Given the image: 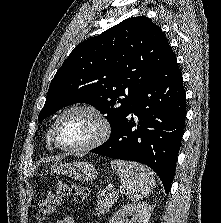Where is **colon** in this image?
Returning a JSON list of instances; mask_svg holds the SVG:
<instances>
[{"label": "colon", "instance_id": "1", "mask_svg": "<svg viewBox=\"0 0 221 223\" xmlns=\"http://www.w3.org/2000/svg\"><path fill=\"white\" fill-rule=\"evenodd\" d=\"M88 189L74 181L59 183L57 188L49 192L38 203L36 218L43 222L53 216L56 209L61 205L64 197L73 195L79 203H83L88 196Z\"/></svg>", "mask_w": 221, "mask_h": 223}]
</instances>
